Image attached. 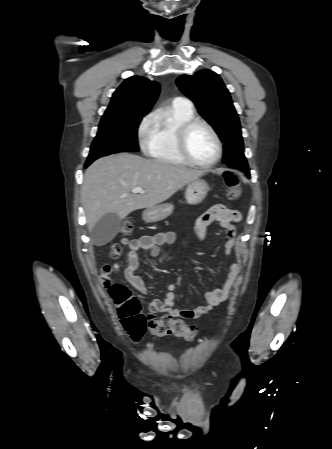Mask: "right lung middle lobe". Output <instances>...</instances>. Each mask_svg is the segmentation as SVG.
Returning <instances> with one entry per match:
<instances>
[{"mask_svg":"<svg viewBox=\"0 0 332 449\" xmlns=\"http://www.w3.org/2000/svg\"><path fill=\"white\" fill-rule=\"evenodd\" d=\"M143 116L102 117L85 165L89 166L94 160L110 154L139 151L137 129Z\"/></svg>","mask_w":332,"mask_h":449,"instance_id":"obj_1","label":"right lung middle lobe"}]
</instances>
